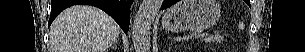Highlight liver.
Instances as JSON below:
<instances>
[{"instance_id":"1","label":"liver","mask_w":305,"mask_h":52,"mask_svg":"<svg viewBox=\"0 0 305 52\" xmlns=\"http://www.w3.org/2000/svg\"><path fill=\"white\" fill-rule=\"evenodd\" d=\"M119 34L120 27L104 11L75 5L64 10L52 23L49 52H105Z\"/></svg>"}]
</instances>
